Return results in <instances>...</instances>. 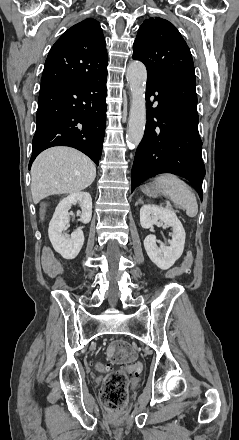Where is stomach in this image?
Returning <instances> with one entry per match:
<instances>
[{
  "label": "stomach",
  "mask_w": 239,
  "mask_h": 440,
  "mask_svg": "<svg viewBox=\"0 0 239 440\" xmlns=\"http://www.w3.org/2000/svg\"><path fill=\"white\" fill-rule=\"evenodd\" d=\"M143 194L149 196V198H158V196H167L166 188L159 184V182H150V184H145L141 188Z\"/></svg>",
  "instance_id": "0dacf381"
}]
</instances>
